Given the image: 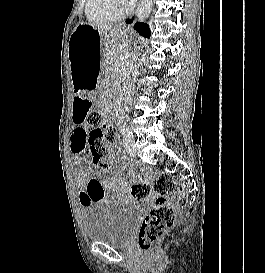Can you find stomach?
Here are the masks:
<instances>
[{"instance_id":"0dacf381","label":"stomach","mask_w":265,"mask_h":273,"mask_svg":"<svg viewBox=\"0 0 265 273\" xmlns=\"http://www.w3.org/2000/svg\"><path fill=\"white\" fill-rule=\"evenodd\" d=\"M132 32L122 28L117 35L102 34L86 24H79L73 30L68 44V56L74 95H93L100 84L97 78H108L111 64L102 60H125V55H103L106 49H139V44H128ZM123 43V44H121Z\"/></svg>"}]
</instances>
